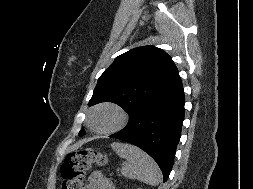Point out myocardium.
<instances>
[{"instance_id": "myocardium-1", "label": "myocardium", "mask_w": 253, "mask_h": 189, "mask_svg": "<svg viewBox=\"0 0 253 189\" xmlns=\"http://www.w3.org/2000/svg\"><path fill=\"white\" fill-rule=\"evenodd\" d=\"M103 109L112 110L117 116V122L111 128H108L105 130H99L93 126V117L98 111L103 110ZM126 122H127L126 112L120 106H118L114 103H109V102L101 103V104L97 105L96 107H94L90 111L89 116H88V120H87L88 127L90 128V130L96 134H99V135L113 134V133L121 130L125 126Z\"/></svg>"}]
</instances>
